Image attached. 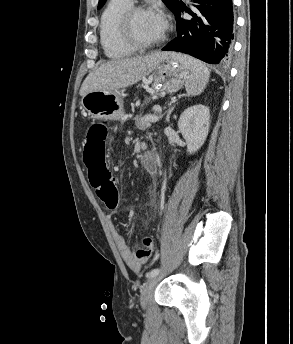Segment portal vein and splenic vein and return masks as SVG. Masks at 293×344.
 <instances>
[{
  "instance_id": "portal-vein-and-splenic-vein-1",
  "label": "portal vein and splenic vein",
  "mask_w": 293,
  "mask_h": 344,
  "mask_svg": "<svg viewBox=\"0 0 293 344\" xmlns=\"http://www.w3.org/2000/svg\"><path fill=\"white\" fill-rule=\"evenodd\" d=\"M151 120L153 121V120H155V118H153V117H152V119H151Z\"/></svg>"
}]
</instances>
